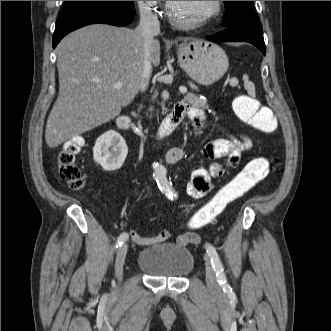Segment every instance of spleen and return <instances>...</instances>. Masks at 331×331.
<instances>
[{
  "instance_id": "1",
  "label": "spleen",
  "mask_w": 331,
  "mask_h": 331,
  "mask_svg": "<svg viewBox=\"0 0 331 331\" xmlns=\"http://www.w3.org/2000/svg\"><path fill=\"white\" fill-rule=\"evenodd\" d=\"M243 80H244V84H245V87L249 93L250 96H255V86L253 83H251L249 81V77L248 75H244L243 76Z\"/></svg>"
}]
</instances>
